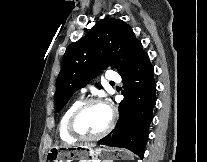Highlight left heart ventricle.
I'll use <instances>...</instances> for the list:
<instances>
[{
    "label": "left heart ventricle",
    "mask_w": 207,
    "mask_h": 162,
    "mask_svg": "<svg viewBox=\"0 0 207 162\" xmlns=\"http://www.w3.org/2000/svg\"><path fill=\"white\" fill-rule=\"evenodd\" d=\"M108 121V108L102 104H93L81 114L76 126L81 133L96 135L104 130Z\"/></svg>",
    "instance_id": "left-heart-ventricle-1"
}]
</instances>
